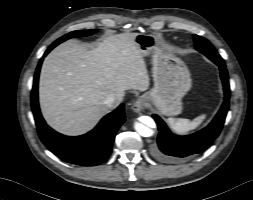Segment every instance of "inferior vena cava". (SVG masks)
Wrapping results in <instances>:
<instances>
[{
	"instance_id": "inferior-vena-cava-1",
	"label": "inferior vena cava",
	"mask_w": 253,
	"mask_h": 200,
	"mask_svg": "<svg viewBox=\"0 0 253 200\" xmlns=\"http://www.w3.org/2000/svg\"><path fill=\"white\" fill-rule=\"evenodd\" d=\"M104 104L108 107V108H112L115 106L116 104V97L115 96H108L105 100H104Z\"/></svg>"
}]
</instances>
